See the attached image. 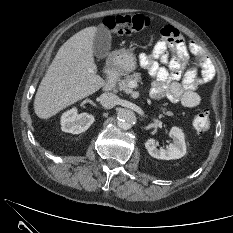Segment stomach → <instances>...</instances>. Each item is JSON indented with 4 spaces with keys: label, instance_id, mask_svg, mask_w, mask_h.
<instances>
[{
    "label": "stomach",
    "instance_id": "stomach-1",
    "mask_svg": "<svg viewBox=\"0 0 233 233\" xmlns=\"http://www.w3.org/2000/svg\"><path fill=\"white\" fill-rule=\"evenodd\" d=\"M116 65L125 72H131L136 69L137 63L134 54L127 49H121L116 52Z\"/></svg>",
    "mask_w": 233,
    "mask_h": 233
}]
</instances>
